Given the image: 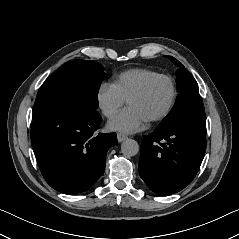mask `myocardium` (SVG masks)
Returning a JSON list of instances; mask_svg holds the SVG:
<instances>
[{
	"label": "myocardium",
	"mask_w": 239,
	"mask_h": 239,
	"mask_svg": "<svg viewBox=\"0 0 239 239\" xmlns=\"http://www.w3.org/2000/svg\"><path fill=\"white\" fill-rule=\"evenodd\" d=\"M158 80H165L169 84L170 96H169V100H168L166 106L160 112H158L157 114H155L147 119L149 122L158 121V120L164 118L170 112V110L174 104L175 96H176V88H175V84H174L172 78L165 74H158V75L148 79L138 90L133 92L127 99V104H129L134 99H137V98L143 96L147 92L149 87L154 82H156Z\"/></svg>",
	"instance_id": "f54148a6"
}]
</instances>
